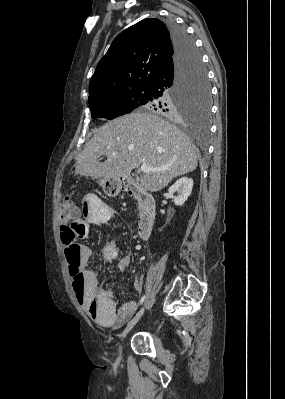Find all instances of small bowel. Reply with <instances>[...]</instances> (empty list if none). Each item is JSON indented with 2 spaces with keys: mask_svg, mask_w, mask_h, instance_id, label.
Instances as JSON below:
<instances>
[{
  "mask_svg": "<svg viewBox=\"0 0 285 399\" xmlns=\"http://www.w3.org/2000/svg\"><path fill=\"white\" fill-rule=\"evenodd\" d=\"M82 227L79 232L80 237L88 234L91 226H103L108 220L107 208L101 199L95 195H87L81 204L80 216ZM92 250L86 246H80L79 270L84 280V288L81 292L73 291L75 298L86 309L92 320L105 326L123 325L138 309L134 300L125 301L119 308H116L113 295L108 290L99 288L96 274L88 269ZM109 260L113 255H107ZM69 271L71 264L67 259ZM130 265V258L124 256L118 260V268L126 271ZM135 289L141 287L138 279L133 283ZM100 306H94L95 302Z\"/></svg>",
  "mask_w": 285,
  "mask_h": 399,
  "instance_id": "c3829d8e",
  "label": "small bowel"
}]
</instances>
